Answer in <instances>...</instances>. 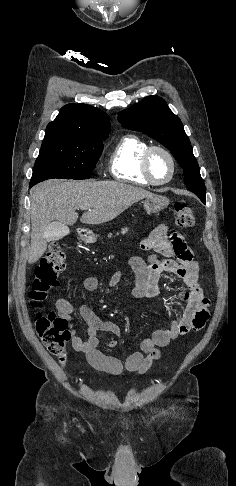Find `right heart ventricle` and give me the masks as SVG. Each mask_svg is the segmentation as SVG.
<instances>
[{"label": "right heart ventricle", "mask_w": 236, "mask_h": 486, "mask_svg": "<svg viewBox=\"0 0 236 486\" xmlns=\"http://www.w3.org/2000/svg\"><path fill=\"white\" fill-rule=\"evenodd\" d=\"M149 143L141 137L128 134L114 146L109 159L111 174L118 180L140 186L150 183L141 172V159Z\"/></svg>", "instance_id": "e07e8e85"}]
</instances>
